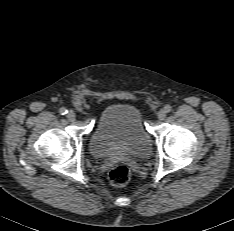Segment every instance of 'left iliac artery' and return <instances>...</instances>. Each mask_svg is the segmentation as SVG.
<instances>
[{
  "mask_svg": "<svg viewBox=\"0 0 234 231\" xmlns=\"http://www.w3.org/2000/svg\"><path fill=\"white\" fill-rule=\"evenodd\" d=\"M164 110L166 111V113H169V112H171L172 107L170 105H166Z\"/></svg>",
  "mask_w": 234,
  "mask_h": 231,
  "instance_id": "obj_1",
  "label": "left iliac artery"
}]
</instances>
